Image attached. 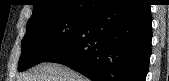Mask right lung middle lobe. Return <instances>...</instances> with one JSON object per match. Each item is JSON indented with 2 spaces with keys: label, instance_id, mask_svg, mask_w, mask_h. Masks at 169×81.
Here are the masks:
<instances>
[{
  "label": "right lung middle lobe",
  "instance_id": "dd1d6c3e",
  "mask_svg": "<svg viewBox=\"0 0 169 81\" xmlns=\"http://www.w3.org/2000/svg\"><path fill=\"white\" fill-rule=\"evenodd\" d=\"M88 17L51 16L27 23L22 40L18 70L25 71L69 43L83 28Z\"/></svg>",
  "mask_w": 169,
  "mask_h": 81
}]
</instances>
